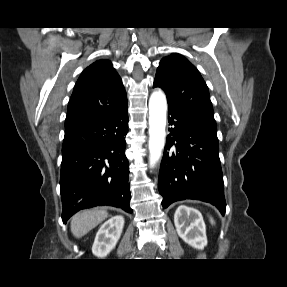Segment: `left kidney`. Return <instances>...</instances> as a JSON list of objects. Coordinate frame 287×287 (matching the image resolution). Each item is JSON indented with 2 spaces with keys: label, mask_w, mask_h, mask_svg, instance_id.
Listing matches in <instances>:
<instances>
[{
  "label": "left kidney",
  "mask_w": 287,
  "mask_h": 287,
  "mask_svg": "<svg viewBox=\"0 0 287 287\" xmlns=\"http://www.w3.org/2000/svg\"><path fill=\"white\" fill-rule=\"evenodd\" d=\"M177 234L185 243L202 250L207 245L206 226L201 213L184 205L177 208L174 214Z\"/></svg>",
  "instance_id": "left-kidney-1"
}]
</instances>
